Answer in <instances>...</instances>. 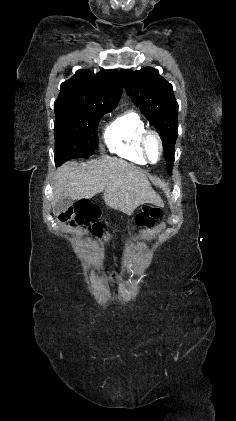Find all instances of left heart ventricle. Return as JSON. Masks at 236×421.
<instances>
[{
	"mask_svg": "<svg viewBox=\"0 0 236 421\" xmlns=\"http://www.w3.org/2000/svg\"><path fill=\"white\" fill-rule=\"evenodd\" d=\"M148 155L152 162H157L160 158V147L155 138L148 141Z\"/></svg>",
	"mask_w": 236,
	"mask_h": 421,
	"instance_id": "left-heart-ventricle-1",
	"label": "left heart ventricle"
}]
</instances>
